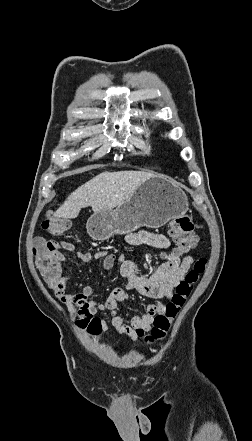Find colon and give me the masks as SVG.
Wrapping results in <instances>:
<instances>
[{"mask_svg": "<svg viewBox=\"0 0 252 441\" xmlns=\"http://www.w3.org/2000/svg\"><path fill=\"white\" fill-rule=\"evenodd\" d=\"M68 226V221L57 217H50L43 224V228L53 236H61L68 229ZM169 235L176 243L177 249L182 253L193 250L198 242L194 224L187 216L178 217L170 223ZM59 248L60 244L58 242L50 240H39L35 245V263L46 281L57 283L61 278ZM205 268L206 259L201 258L187 272L177 285L172 298L165 305L163 313L155 316L151 334L145 337L147 342L160 340L166 336L171 322L184 306ZM102 329L103 324L99 318H93L87 325L88 332L94 335L99 334ZM137 336L144 337V331L137 330Z\"/></svg>", "mask_w": 252, "mask_h": 441, "instance_id": "5ec220e1", "label": "colon"}]
</instances>
